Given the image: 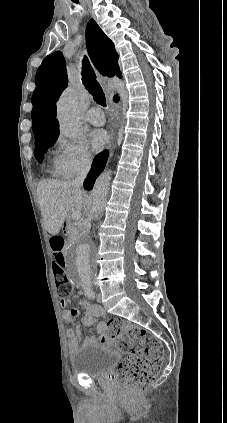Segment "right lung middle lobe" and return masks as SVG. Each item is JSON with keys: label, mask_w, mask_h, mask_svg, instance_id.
<instances>
[{"label": "right lung middle lobe", "mask_w": 227, "mask_h": 423, "mask_svg": "<svg viewBox=\"0 0 227 423\" xmlns=\"http://www.w3.org/2000/svg\"><path fill=\"white\" fill-rule=\"evenodd\" d=\"M57 138L58 135L35 138L36 148L34 150V156L38 161L41 162L43 160L42 155L47 151V148L56 142Z\"/></svg>", "instance_id": "1"}]
</instances>
